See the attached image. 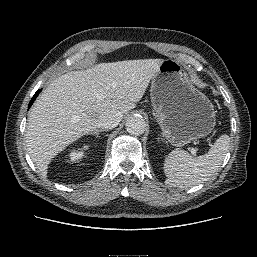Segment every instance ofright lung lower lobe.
<instances>
[{"mask_svg": "<svg viewBox=\"0 0 257 257\" xmlns=\"http://www.w3.org/2000/svg\"><path fill=\"white\" fill-rule=\"evenodd\" d=\"M41 92V89L38 90L35 95L32 97L30 103H29V107L33 104V102L35 101L36 97L38 96V94Z\"/></svg>", "mask_w": 257, "mask_h": 257, "instance_id": "98d812e1", "label": "right lung lower lobe"}]
</instances>
